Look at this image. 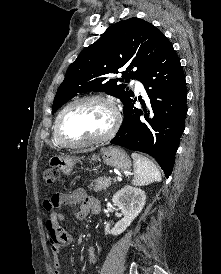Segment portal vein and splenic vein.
Instances as JSON below:
<instances>
[{"instance_id": "portal-vein-and-splenic-vein-1", "label": "portal vein and splenic vein", "mask_w": 221, "mask_h": 274, "mask_svg": "<svg viewBox=\"0 0 221 274\" xmlns=\"http://www.w3.org/2000/svg\"><path fill=\"white\" fill-rule=\"evenodd\" d=\"M118 181H122V178L120 176H117Z\"/></svg>"}]
</instances>
